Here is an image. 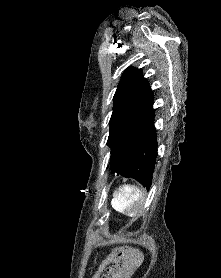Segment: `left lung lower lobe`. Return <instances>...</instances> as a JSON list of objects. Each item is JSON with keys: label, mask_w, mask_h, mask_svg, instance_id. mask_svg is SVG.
Instances as JSON below:
<instances>
[{"label": "left lung lower lobe", "mask_w": 221, "mask_h": 278, "mask_svg": "<svg viewBox=\"0 0 221 278\" xmlns=\"http://www.w3.org/2000/svg\"><path fill=\"white\" fill-rule=\"evenodd\" d=\"M153 101L111 152L112 173L132 177L147 189L151 186L157 158Z\"/></svg>", "instance_id": "left-lung-lower-lobe-1"}]
</instances>
